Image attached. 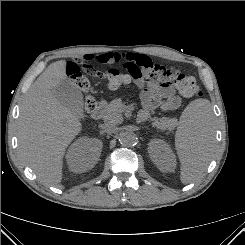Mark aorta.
Instances as JSON below:
<instances>
[{"instance_id":"obj_1","label":"aorta","mask_w":245,"mask_h":245,"mask_svg":"<svg viewBox=\"0 0 245 245\" xmlns=\"http://www.w3.org/2000/svg\"><path fill=\"white\" fill-rule=\"evenodd\" d=\"M119 141L123 146L131 147L136 144L137 136L133 132H124L120 135Z\"/></svg>"}]
</instances>
